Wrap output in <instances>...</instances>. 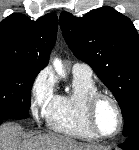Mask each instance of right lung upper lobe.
I'll list each match as a JSON object with an SVG mask.
<instances>
[{
    "label": "right lung upper lobe",
    "instance_id": "obj_1",
    "mask_svg": "<svg viewBox=\"0 0 139 150\" xmlns=\"http://www.w3.org/2000/svg\"><path fill=\"white\" fill-rule=\"evenodd\" d=\"M58 18L49 13L36 21L14 13L0 23V64L43 69L56 41Z\"/></svg>",
    "mask_w": 139,
    "mask_h": 150
}]
</instances>
